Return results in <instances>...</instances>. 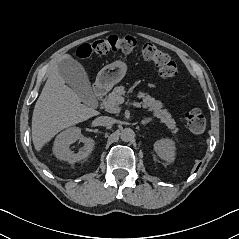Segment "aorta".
<instances>
[{
  "label": "aorta",
  "mask_w": 239,
  "mask_h": 239,
  "mask_svg": "<svg viewBox=\"0 0 239 239\" xmlns=\"http://www.w3.org/2000/svg\"><path fill=\"white\" fill-rule=\"evenodd\" d=\"M135 134L131 128H124L121 130V140L124 142L131 141L134 138Z\"/></svg>",
  "instance_id": "1"
}]
</instances>
